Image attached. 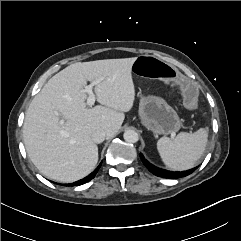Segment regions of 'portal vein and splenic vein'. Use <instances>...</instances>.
Masks as SVG:
<instances>
[{"instance_id": "obj_1", "label": "portal vein and splenic vein", "mask_w": 241, "mask_h": 241, "mask_svg": "<svg viewBox=\"0 0 241 241\" xmlns=\"http://www.w3.org/2000/svg\"><path fill=\"white\" fill-rule=\"evenodd\" d=\"M100 82V80H96L85 87L84 92L88 94L87 98V105L92 106L95 103L96 96L93 93V87L97 85Z\"/></svg>"}]
</instances>
